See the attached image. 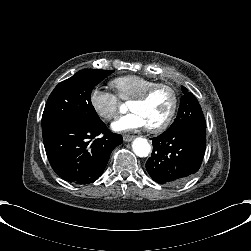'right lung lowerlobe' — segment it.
Instances as JSON below:
<instances>
[{"label": "right lung lower lobe", "instance_id": "1", "mask_svg": "<svg viewBox=\"0 0 251 251\" xmlns=\"http://www.w3.org/2000/svg\"><path fill=\"white\" fill-rule=\"evenodd\" d=\"M43 142L56 174L70 183L90 184L103 174L111 151L123 140L102 121L71 120L43 132Z\"/></svg>", "mask_w": 251, "mask_h": 251}]
</instances>
